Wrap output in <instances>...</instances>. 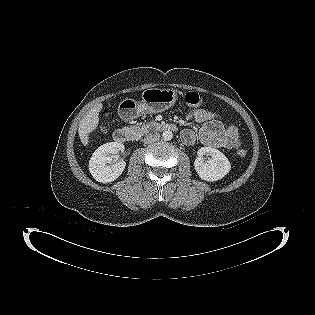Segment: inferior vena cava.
Instances as JSON below:
<instances>
[{
  "instance_id": "obj_1",
  "label": "inferior vena cava",
  "mask_w": 315,
  "mask_h": 315,
  "mask_svg": "<svg viewBox=\"0 0 315 315\" xmlns=\"http://www.w3.org/2000/svg\"><path fill=\"white\" fill-rule=\"evenodd\" d=\"M160 139V134L159 133H154V134H148L144 138V143L145 144H150L152 142L158 141Z\"/></svg>"
}]
</instances>
